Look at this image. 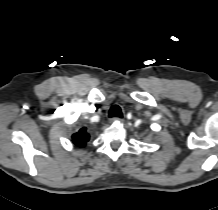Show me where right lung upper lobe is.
<instances>
[{
  "label": "right lung upper lobe",
  "mask_w": 218,
  "mask_h": 210,
  "mask_svg": "<svg viewBox=\"0 0 218 210\" xmlns=\"http://www.w3.org/2000/svg\"><path fill=\"white\" fill-rule=\"evenodd\" d=\"M89 134L85 127L80 128L76 133L72 135V140L76 146L84 147L89 141Z\"/></svg>",
  "instance_id": "obj_1"
}]
</instances>
